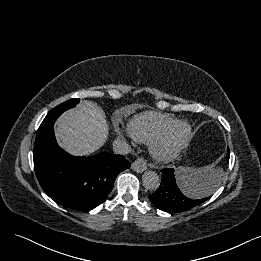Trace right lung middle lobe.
Listing matches in <instances>:
<instances>
[{"instance_id":"1","label":"right lung middle lobe","mask_w":261,"mask_h":261,"mask_svg":"<svg viewBox=\"0 0 261 261\" xmlns=\"http://www.w3.org/2000/svg\"><path fill=\"white\" fill-rule=\"evenodd\" d=\"M79 103V99L78 98H73V99H70L66 102H63L61 103L60 105L56 106L55 108H53L51 111H49V115L51 114H61L63 113L64 111L76 106V104Z\"/></svg>"}]
</instances>
